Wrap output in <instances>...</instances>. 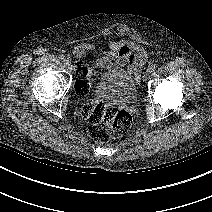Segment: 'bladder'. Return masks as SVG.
Wrapping results in <instances>:
<instances>
[{"label":"bladder","mask_w":212,"mask_h":212,"mask_svg":"<svg viewBox=\"0 0 212 212\" xmlns=\"http://www.w3.org/2000/svg\"><path fill=\"white\" fill-rule=\"evenodd\" d=\"M89 93L94 98L109 102L130 103L137 96V88L122 69H111L101 73Z\"/></svg>","instance_id":"31cf9c89"}]
</instances>
